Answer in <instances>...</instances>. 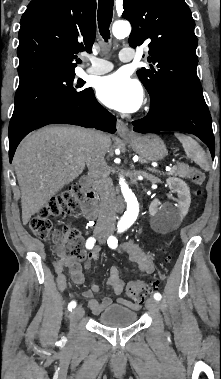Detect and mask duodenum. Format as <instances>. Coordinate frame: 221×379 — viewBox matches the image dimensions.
<instances>
[{"instance_id":"410a0bca","label":"duodenum","mask_w":221,"mask_h":379,"mask_svg":"<svg viewBox=\"0 0 221 379\" xmlns=\"http://www.w3.org/2000/svg\"><path fill=\"white\" fill-rule=\"evenodd\" d=\"M81 187L85 193L81 204L82 212L88 219H94L99 213V206L95 191L88 178H83L81 180Z\"/></svg>"}]
</instances>
